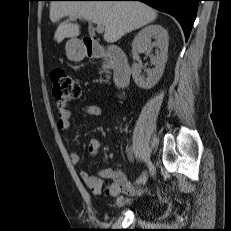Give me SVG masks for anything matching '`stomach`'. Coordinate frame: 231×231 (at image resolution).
<instances>
[{"label": "stomach", "instance_id": "1", "mask_svg": "<svg viewBox=\"0 0 231 231\" xmlns=\"http://www.w3.org/2000/svg\"><path fill=\"white\" fill-rule=\"evenodd\" d=\"M67 58L74 62H79L85 57V47L82 42L76 38H72L66 43Z\"/></svg>", "mask_w": 231, "mask_h": 231}]
</instances>
